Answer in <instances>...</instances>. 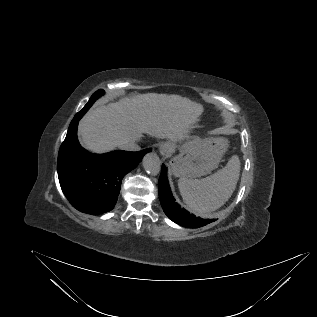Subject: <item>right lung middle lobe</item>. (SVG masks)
Wrapping results in <instances>:
<instances>
[{"label":"right lung middle lobe","mask_w":317,"mask_h":317,"mask_svg":"<svg viewBox=\"0 0 317 317\" xmlns=\"http://www.w3.org/2000/svg\"><path fill=\"white\" fill-rule=\"evenodd\" d=\"M104 94V92H103V90H98L97 92H95L92 96H91V98H90V100L88 101V103L83 107V109L81 110V111H79L76 115H75V117H74V119L76 118V117H81V116H83L85 113H86V111L93 105V103L96 101V99H98L101 95H103Z\"/></svg>","instance_id":"1"}]
</instances>
